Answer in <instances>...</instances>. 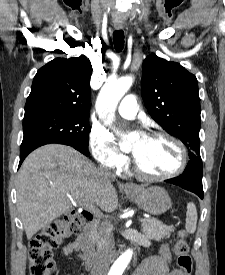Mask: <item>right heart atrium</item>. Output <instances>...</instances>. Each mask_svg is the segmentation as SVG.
<instances>
[{
  "label": "right heart atrium",
  "instance_id": "d8ad5b80",
  "mask_svg": "<svg viewBox=\"0 0 225 275\" xmlns=\"http://www.w3.org/2000/svg\"><path fill=\"white\" fill-rule=\"evenodd\" d=\"M89 146L94 158L103 167L122 170L129 163L128 157L114 145L110 133L100 126L91 128Z\"/></svg>",
  "mask_w": 225,
  "mask_h": 275
}]
</instances>
